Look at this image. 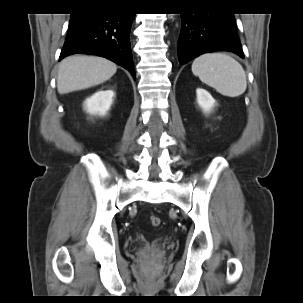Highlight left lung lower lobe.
Returning <instances> with one entry per match:
<instances>
[{
    "mask_svg": "<svg viewBox=\"0 0 303 303\" xmlns=\"http://www.w3.org/2000/svg\"><path fill=\"white\" fill-rule=\"evenodd\" d=\"M181 20L178 40V59L181 64L213 51H231L244 58L233 14H181Z\"/></svg>",
    "mask_w": 303,
    "mask_h": 303,
    "instance_id": "obj_1",
    "label": "left lung lower lobe"
}]
</instances>
